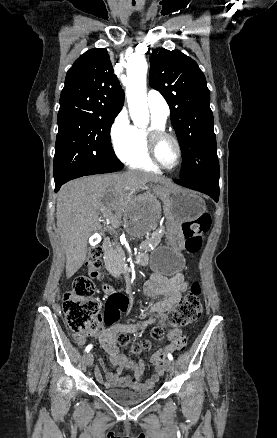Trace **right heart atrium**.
<instances>
[{"mask_svg": "<svg viewBox=\"0 0 277 438\" xmlns=\"http://www.w3.org/2000/svg\"><path fill=\"white\" fill-rule=\"evenodd\" d=\"M131 135L132 126L126 115L124 113H119L111 126L112 142L118 153L129 146Z\"/></svg>", "mask_w": 277, "mask_h": 438, "instance_id": "right-heart-atrium-1", "label": "right heart atrium"}]
</instances>
